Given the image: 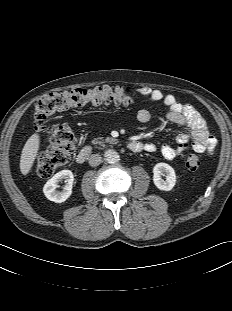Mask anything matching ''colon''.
<instances>
[{
    "instance_id": "1",
    "label": "colon",
    "mask_w": 232,
    "mask_h": 311,
    "mask_svg": "<svg viewBox=\"0 0 232 311\" xmlns=\"http://www.w3.org/2000/svg\"><path fill=\"white\" fill-rule=\"evenodd\" d=\"M133 102L131 91L124 87H95L92 89L75 88L69 91L51 93L36 101L34 106V125L36 130L46 135L48 149L38 157L35 170L40 177H49L57 169L65 166L75 149L76 138L73 130L64 124L47 126L48 118L57 113L86 103H115L129 105ZM200 165L199 156L190 153L186 167L195 171Z\"/></svg>"
}]
</instances>
